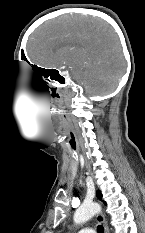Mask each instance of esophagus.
I'll return each mask as SVG.
<instances>
[{
    "instance_id": "1",
    "label": "esophagus",
    "mask_w": 145,
    "mask_h": 233,
    "mask_svg": "<svg viewBox=\"0 0 145 233\" xmlns=\"http://www.w3.org/2000/svg\"><path fill=\"white\" fill-rule=\"evenodd\" d=\"M96 219L104 226V233H110L104 215L102 213H98Z\"/></svg>"
}]
</instances>
